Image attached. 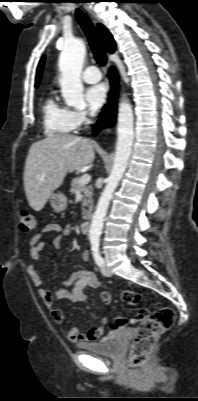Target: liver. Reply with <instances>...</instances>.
<instances>
[{
    "label": "liver",
    "mask_w": 198,
    "mask_h": 401,
    "mask_svg": "<svg viewBox=\"0 0 198 401\" xmlns=\"http://www.w3.org/2000/svg\"><path fill=\"white\" fill-rule=\"evenodd\" d=\"M95 159L93 141L72 135H50L33 143L25 169L24 188L29 205L40 211L68 172L81 170Z\"/></svg>",
    "instance_id": "liver-1"
}]
</instances>
